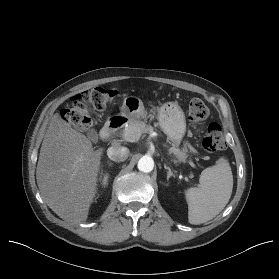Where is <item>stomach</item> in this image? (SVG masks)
<instances>
[{
    "label": "stomach",
    "instance_id": "obj_1",
    "mask_svg": "<svg viewBox=\"0 0 279 279\" xmlns=\"http://www.w3.org/2000/svg\"><path fill=\"white\" fill-rule=\"evenodd\" d=\"M144 113V105L139 98L133 96L124 98L121 117L131 123L143 118ZM157 119L162 131L173 143L177 159L183 160L186 154L178 148V145L186 130L184 112L176 102H166L158 108Z\"/></svg>",
    "mask_w": 279,
    "mask_h": 279
}]
</instances>
